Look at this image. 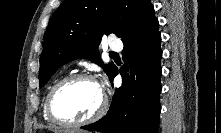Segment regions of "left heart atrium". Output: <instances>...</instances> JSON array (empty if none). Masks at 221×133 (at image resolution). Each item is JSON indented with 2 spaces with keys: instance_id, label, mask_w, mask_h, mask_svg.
<instances>
[{
  "instance_id": "obj_1",
  "label": "left heart atrium",
  "mask_w": 221,
  "mask_h": 133,
  "mask_svg": "<svg viewBox=\"0 0 221 133\" xmlns=\"http://www.w3.org/2000/svg\"><path fill=\"white\" fill-rule=\"evenodd\" d=\"M98 87H99V89L101 90V92L103 91V89H104V85L103 84H98Z\"/></svg>"
}]
</instances>
